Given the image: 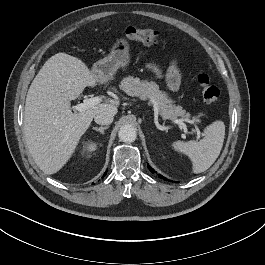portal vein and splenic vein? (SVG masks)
<instances>
[{"instance_id":"18ae733b","label":"portal vein and splenic vein","mask_w":265,"mask_h":265,"mask_svg":"<svg viewBox=\"0 0 265 265\" xmlns=\"http://www.w3.org/2000/svg\"><path fill=\"white\" fill-rule=\"evenodd\" d=\"M100 102H102V97H93V98H85L83 100V103L78 104L76 106L73 107L74 110L78 111V112H83L91 107H94L96 105H98ZM175 124H178L180 126V128L183 129L184 133L187 134V127L186 125L183 123L182 119H174L172 120ZM197 134L200 135V131L197 130Z\"/></svg>"}]
</instances>
